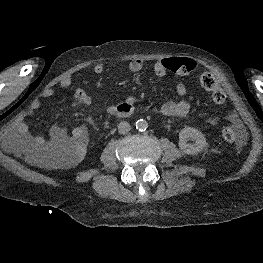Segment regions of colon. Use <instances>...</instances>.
<instances>
[{
	"mask_svg": "<svg viewBox=\"0 0 263 263\" xmlns=\"http://www.w3.org/2000/svg\"><path fill=\"white\" fill-rule=\"evenodd\" d=\"M168 66L174 75L180 80H190L193 76L195 64L192 60L184 57H172ZM199 82L213 95L215 101L220 105L225 117L231 118L235 112V104L222 87L213 79L210 74H202L198 77ZM228 145L240 148L245 140V133L240 127L228 128L224 133ZM85 142V135L82 131H74L70 134L67 142L51 152V158L57 163L71 162L81 154Z\"/></svg>",
	"mask_w": 263,
	"mask_h": 263,
	"instance_id": "1",
	"label": "colon"
}]
</instances>
